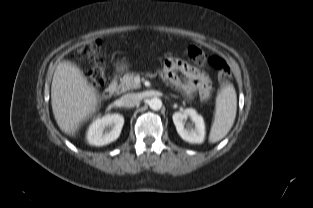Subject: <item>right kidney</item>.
<instances>
[{"label": "right kidney", "mask_w": 313, "mask_h": 208, "mask_svg": "<svg viewBox=\"0 0 313 208\" xmlns=\"http://www.w3.org/2000/svg\"><path fill=\"white\" fill-rule=\"evenodd\" d=\"M123 125L124 117L120 114H108L98 118L88 129L87 141L90 145H107L120 136Z\"/></svg>", "instance_id": "ca27d5eb"}]
</instances>
